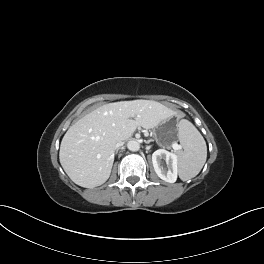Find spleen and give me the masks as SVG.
Listing matches in <instances>:
<instances>
[{
  "label": "spleen",
  "instance_id": "obj_1",
  "mask_svg": "<svg viewBox=\"0 0 264 264\" xmlns=\"http://www.w3.org/2000/svg\"><path fill=\"white\" fill-rule=\"evenodd\" d=\"M178 139L183 148L178 152V173L183 181L199 174L207 159V146L203 136L188 120L178 123Z\"/></svg>",
  "mask_w": 264,
  "mask_h": 264
}]
</instances>
